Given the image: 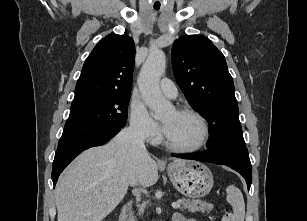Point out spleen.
<instances>
[{
	"label": "spleen",
	"instance_id": "3e777b00",
	"mask_svg": "<svg viewBox=\"0 0 307 221\" xmlns=\"http://www.w3.org/2000/svg\"><path fill=\"white\" fill-rule=\"evenodd\" d=\"M227 201L233 208V214L236 221H244L245 218V202L241 191L234 185H230L227 189Z\"/></svg>",
	"mask_w": 307,
	"mask_h": 221
}]
</instances>
